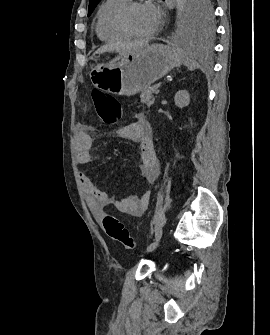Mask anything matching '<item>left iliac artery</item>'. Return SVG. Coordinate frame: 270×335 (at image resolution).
Returning a JSON list of instances; mask_svg holds the SVG:
<instances>
[{
    "mask_svg": "<svg viewBox=\"0 0 270 335\" xmlns=\"http://www.w3.org/2000/svg\"><path fill=\"white\" fill-rule=\"evenodd\" d=\"M162 227L163 223L158 221L155 225V239L159 240L162 237Z\"/></svg>",
    "mask_w": 270,
    "mask_h": 335,
    "instance_id": "44dca946",
    "label": "left iliac artery"
}]
</instances>
